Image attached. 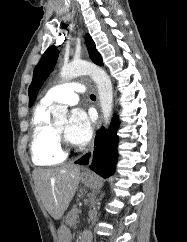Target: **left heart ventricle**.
Wrapping results in <instances>:
<instances>
[{"label": "left heart ventricle", "instance_id": "left-heart-ventricle-1", "mask_svg": "<svg viewBox=\"0 0 187 242\" xmlns=\"http://www.w3.org/2000/svg\"><path fill=\"white\" fill-rule=\"evenodd\" d=\"M66 126H67V122H66V120H62L61 122H59V123H57V124L55 125V128H56L59 132L63 133V132L65 131V129H66Z\"/></svg>", "mask_w": 187, "mask_h": 242}]
</instances>
